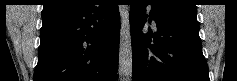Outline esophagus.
I'll return each mask as SVG.
<instances>
[{"instance_id":"esophagus-1","label":"esophagus","mask_w":237,"mask_h":81,"mask_svg":"<svg viewBox=\"0 0 237 81\" xmlns=\"http://www.w3.org/2000/svg\"><path fill=\"white\" fill-rule=\"evenodd\" d=\"M120 12H121V17H122V19L125 23V27L128 28V11H127V8L121 7Z\"/></svg>"}]
</instances>
